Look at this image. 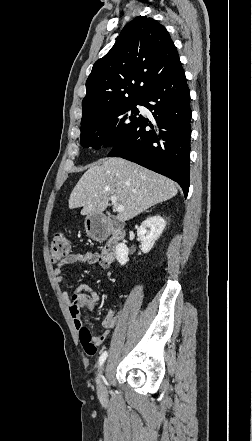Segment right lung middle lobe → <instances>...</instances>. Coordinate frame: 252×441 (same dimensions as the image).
Instances as JSON below:
<instances>
[{"mask_svg": "<svg viewBox=\"0 0 252 441\" xmlns=\"http://www.w3.org/2000/svg\"><path fill=\"white\" fill-rule=\"evenodd\" d=\"M136 105H141V100L103 111L81 123V145L99 149L102 145L109 147L119 143L142 118Z\"/></svg>", "mask_w": 252, "mask_h": 441, "instance_id": "obj_1", "label": "right lung middle lobe"}]
</instances>
